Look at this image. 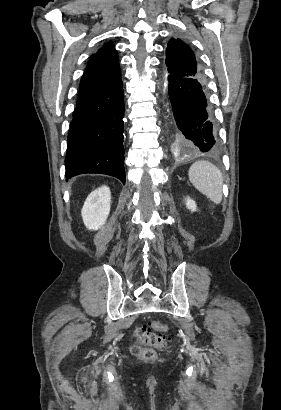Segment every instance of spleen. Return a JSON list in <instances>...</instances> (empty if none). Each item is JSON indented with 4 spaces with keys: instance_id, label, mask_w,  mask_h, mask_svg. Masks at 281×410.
<instances>
[{
    "instance_id": "spleen-1",
    "label": "spleen",
    "mask_w": 281,
    "mask_h": 410,
    "mask_svg": "<svg viewBox=\"0 0 281 410\" xmlns=\"http://www.w3.org/2000/svg\"><path fill=\"white\" fill-rule=\"evenodd\" d=\"M189 180L202 194L215 204L222 201L223 176L221 171L209 161H196L188 172Z\"/></svg>"
}]
</instances>
